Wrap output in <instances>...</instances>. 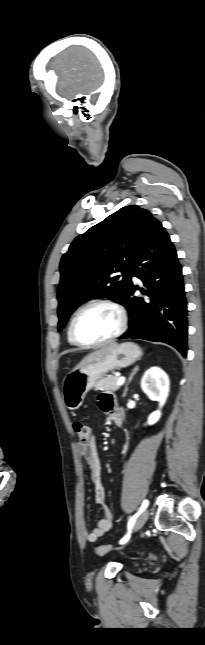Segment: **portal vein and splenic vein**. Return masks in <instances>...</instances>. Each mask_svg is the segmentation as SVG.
Here are the masks:
<instances>
[{
    "label": "portal vein and splenic vein",
    "mask_w": 205,
    "mask_h": 645,
    "mask_svg": "<svg viewBox=\"0 0 205 645\" xmlns=\"http://www.w3.org/2000/svg\"><path fill=\"white\" fill-rule=\"evenodd\" d=\"M125 380H126V379H125V377H120V378H119V380H118V383H117V384H118V386L123 385V384H124V382H125Z\"/></svg>",
    "instance_id": "portal-vein-and-splenic-vein-1"
}]
</instances>
